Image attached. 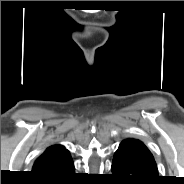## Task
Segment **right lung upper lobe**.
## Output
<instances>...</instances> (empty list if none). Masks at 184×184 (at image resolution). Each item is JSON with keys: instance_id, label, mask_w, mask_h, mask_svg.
Here are the masks:
<instances>
[{"instance_id": "cb5924a9", "label": "right lung upper lobe", "mask_w": 184, "mask_h": 184, "mask_svg": "<svg viewBox=\"0 0 184 184\" xmlns=\"http://www.w3.org/2000/svg\"><path fill=\"white\" fill-rule=\"evenodd\" d=\"M67 149L61 145H54L45 150V152L35 161L32 172L39 174L50 171L64 160L70 158Z\"/></svg>"}]
</instances>
